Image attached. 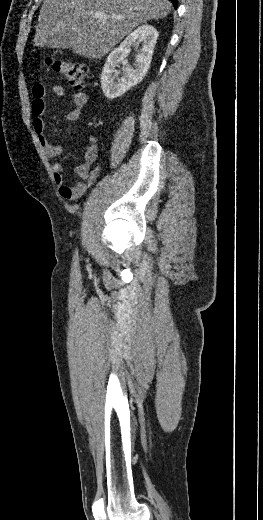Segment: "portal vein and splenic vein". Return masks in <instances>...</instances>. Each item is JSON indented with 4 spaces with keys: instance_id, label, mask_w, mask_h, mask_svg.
Here are the masks:
<instances>
[{
    "instance_id": "obj_1",
    "label": "portal vein and splenic vein",
    "mask_w": 263,
    "mask_h": 520,
    "mask_svg": "<svg viewBox=\"0 0 263 520\" xmlns=\"http://www.w3.org/2000/svg\"><path fill=\"white\" fill-rule=\"evenodd\" d=\"M94 17L97 18V19H106L107 18L104 13H95ZM110 18L111 19H120V18H123V17L117 16V15H112V16H110Z\"/></svg>"
}]
</instances>
